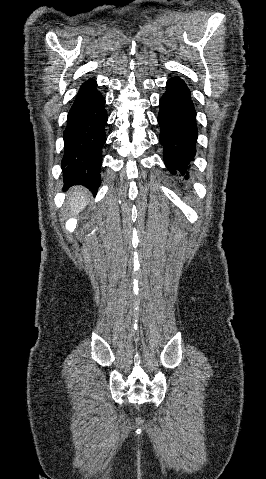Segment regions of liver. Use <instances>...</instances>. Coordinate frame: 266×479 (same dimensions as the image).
Segmentation results:
<instances>
[{
	"label": "liver",
	"instance_id": "liver-1",
	"mask_svg": "<svg viewBox=\"0 0 266 479\" xmlns=\"http://www.w3.org/2000/svg\"><path fill=\"white\" fill-rule=\"evenodd\" d=\"M86 195L87 190L81 187H76L70 190L68 195V205L71 216L77 215L88 205L89 200Z\"/></svg>",
	"mask_w": 266,
	"mask_h": 479
}]
</instances>
